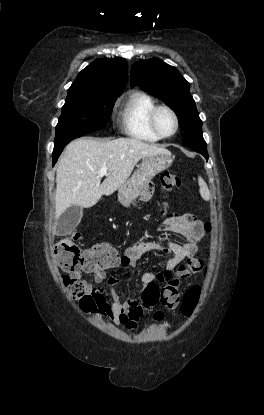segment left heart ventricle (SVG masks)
Here are the masks:
<instances>
[{
	"mask_svg": "<svg viewBox=\"0 0 264 415\" xmlns=\"http://www.w3.org/2000/svg\"><path fill=\"white\" fill-rule=\"evenodd\" d=\"M157 127L163 135L171 134L175 129V122L172 115L166 111L161 110L157 114Z\"/></svg>",
	"mask_w": 264,
	"mask_h": 415,
	"instance_id": "obj_1",
	"label": "left heart ventricle"
}]
</instances>
